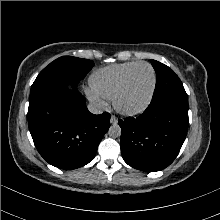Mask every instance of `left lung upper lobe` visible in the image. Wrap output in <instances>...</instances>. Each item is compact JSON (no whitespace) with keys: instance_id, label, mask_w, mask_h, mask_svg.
<instances>
[{"instance_id":"obj_1","label":"left lung upper lobe","mask_w":220,"mask_h":220,"mask_svg":"<svg viewBox=\"0 0 220 220\" xmlns=\"http://www.w3.org/2000/svg\"><path fill=\"white\" fill-rule=\"evenodd\" d=\"M151 63L156 71V87L151 102L173 101L188 106L187 94L174 71L156 60H151Z\"/></svg>"}]
</instances>
